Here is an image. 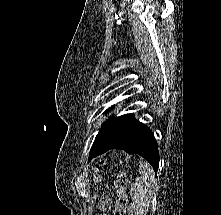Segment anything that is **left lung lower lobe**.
Instances as JSON below:
<instances>
[{
  "instance_id": "left-lung-lower-lobe-1",
  "label": "left lung lower lobe",
  "mask_w": 221,
  "mask_h": 215,
  "mask_svg": "<svg viewBox=\"0 0 221 215\" xmlns=\"http://www.w3.org/2000/svg\"><path fill=\"white\" fill-rule=\"evenodd\" d=\"M110 149H122L128 154L144 157L157 173L159 153L152 131L135 119L134 114L118 117L95 139L89 154V160Z\"/></svg>"
}]
</instances>
